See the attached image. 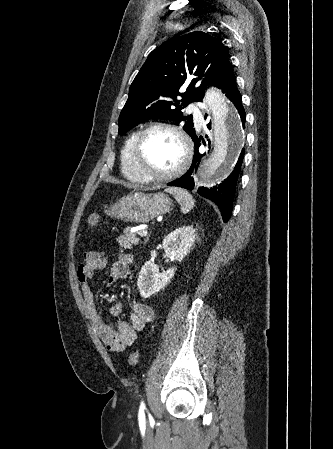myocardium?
I'll return each mask as SVG.
<instances>
[{
  "instance_id": "f54148a6",
  "label": "myocardium",
  "mask_w": 333,
  "mask_h": 449,
  "mask_svg": "<svg viewBox=\"0 0 333 449\" xmlns=\"http://www.w3.org/2000/svg\"><path fill=\"white\" fill-rule=\"evenodd\" d=\"M154 130L167 131L178 138L181 143L183 157L179 165L172 171L156 175L146 172L141 165L142 146L147 135ZM192 159V145L187 135L178 127L165 123L153 122L142 129L136 138L133 148V162L136 171L145 182H167L179 177L190 165Z\"/></svg>"
}]
</instances>
